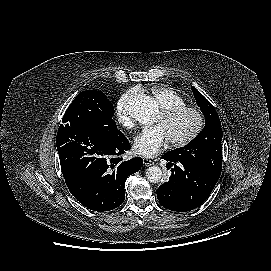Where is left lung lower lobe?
<instances>
[{"instance_id":"left-lung-lower-lobe-1","label":"left lung lower lobe","mask_w":271,"mask_h":271,"mask_svg":"<svg viewBox=\"0 0 271 271\" xmlns=\"http://www.w3.org/2000/svg\"><path fill=\"white\" fill-rule=\"evenodd\" d=\"M171 166L169 181L157 190L159 203L166 209L186 212L200 206L211 194L218 178L192 164L178 161L169 153L162 156Z\"/></svg>"}]
</instances>
